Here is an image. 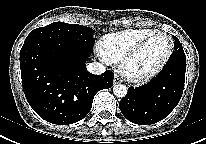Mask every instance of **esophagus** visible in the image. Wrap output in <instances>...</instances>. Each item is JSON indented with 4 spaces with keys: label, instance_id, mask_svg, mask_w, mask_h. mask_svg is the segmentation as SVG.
Returning <instances> with one entry per match:
<instances>
[{
    "label": "esophagus",
    "instance_id": "34e87169",
    "mask_svg": "<svg viewBox=\"0 0 206 144\" xmlns=\"http://www.w3.org/2000/svg\"><path fill=\"white\" fill-rule=\"evenodd\" d=\"M123 80H122V78L121 77H119V76H115L114 77V84H118V83H121Z\"/></svg>",
    "mask_w": 206,
    "mask_h": 144
}]
</instances>
